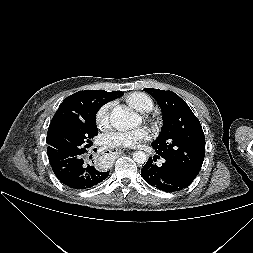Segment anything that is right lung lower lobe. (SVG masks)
<instances>
[{"label": "right lung lower lobe", "instance_id": "98d812e1", "mask_svg": "<svg viewBox=\"0 0 253 253\" xmlns=\"http://www.w3.org/2000/svg\"><path fill=\"white\" fill-rule=\"evenodd\" d=\"M84 157L85 152L60 159L49 158V161L56 177L64 185L73 189H86L102 182L109 172L87 164Z\"/></svg>", "mask_w": 253, "mask_h": 253}]
</instances>
